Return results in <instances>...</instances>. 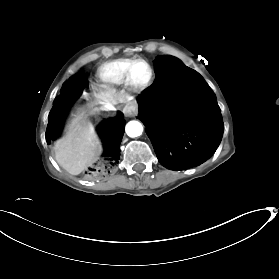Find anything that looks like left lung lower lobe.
<instances>
[{"label":"left lung lower lobe","mask_w":279,"mask_h":279,"mask_svg":"<svg viewBox=\"0 0 279 279\" xmlns=\"http://www.w3.org/2000/svg\"><path fill=\"white\" fill-rule=\"evenodd\" d=\"M154 66L155 81L173 84L160 93L147 88L138 96L139 120L164 167L198 166L213 155L223 135L215 95L200 74L173 58Z\"/></svg>","instance_id":"obj_1"}]
</instances>
